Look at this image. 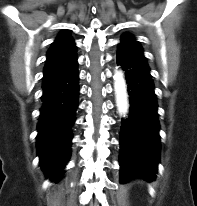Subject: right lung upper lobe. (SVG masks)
Returning a JSON list of instances; mask_svg holds the SVG:
<instances>
[{"mask_svg":"<svg viewBox=\"0 0 197 206\" xmlns=\"http://www.w3.org/2000/svg\"><path fill=\"white\" fill-rule=\"evenodd\" d=\"M76 58V46L73 39L67 31H62L47 52L43 85L65 72Z\"/></svg>","mask_w":197,"mask_h":206,"instance_id":"obj_1","label":"right lung upper lobe"}]
</instances>
